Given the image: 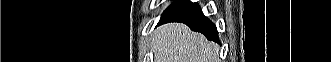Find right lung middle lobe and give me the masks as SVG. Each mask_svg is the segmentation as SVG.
Wrapping results in <instances>:
<instances>
[{
	"mask_svg": "<svg viewBox=\"0 0 331 62\" xmlns=\"http://www.w3.org/2000/svg\"><path fill=\"white\" fill-rule=\"evenodd\" d=\"M178 1H179V0H177V1L173 2V4H172V5H174V4H175V3H177ZM172 5H171V6H172ZM171 6H170V7H171Z\"/></svg>",
	"mask_w": 331,
	"mask_h": 62,
	"instance_id": "dd1d6c3e",
	"label": "right lung middle lobe"
}]
</instances>
